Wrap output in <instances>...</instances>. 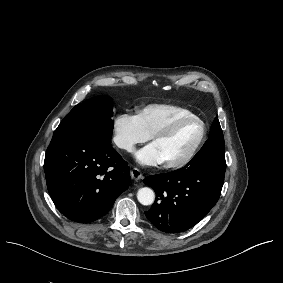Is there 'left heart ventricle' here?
Returning a JSON list of instances; mask_svg holds the SVG:
<instances>
[{
    "label": "left heart ventricle",
    "mask_w": 283,
    "mask_h": 283,
    "mask_svg": "<svg viewBox=\"0 0 283 283\" xmlns=\"http://www.w3.org/2000/svg\"><path fill=\"white\" fill-rule=\"evenodd\" d=\"M200 131L199 122L187 121L180 124L171 137L155 140L164 154L165 162L184 158L196 143Z\"/></svg>",
    "instance_id": "left-heart-ventricle-1"
}]
</instances>
